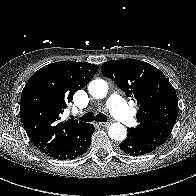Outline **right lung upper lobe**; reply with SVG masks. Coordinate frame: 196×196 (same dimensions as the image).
<instances>
[{
	"label": "right lung upper lobe",
	"instance_id": "1",
	"mask_svg": "<svg viewBox=\"0 0 196 196\" xmlns=\"http://www.w3.org/2000/svg\"><path fill=\"white\" fill-rule=\"evenodd\" d=\"M98 68L87 62L60 61L31 76L21 94L20 115L28 137L40 151L48 154L62 147L87 124L61 121V114Z\"/></svg>",
	"mask_w": 196,
	"mask_h": 196
}]
</instances>
